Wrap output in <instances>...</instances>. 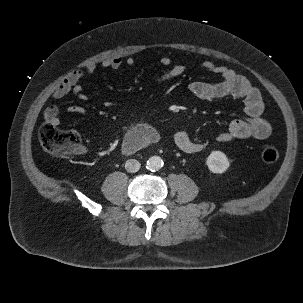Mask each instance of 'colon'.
<instances>
[{
	"mask_svg": "<svg viewBox=\"0 0 303 303\" xmlns=\"http://www.w3.org/2000/svg\"><path fill=\"white\" fill-rule=\"evenodd\" d=\"M42 148L54 159H62L79 151L81 139L74 130H64L49 123L39 131ZM279 151L274 146H266L262 151V159L266 163H274L279 159Z\"/></svg>",
	"mask_w": 303,
	"mask_h": 303,
	"instance_id": "obj_1",
	"label": "colon"
}]
</instances>
